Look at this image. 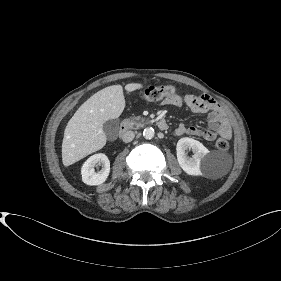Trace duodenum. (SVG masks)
Returning <instances> with one entry per match:
<instances>
[{"mask_svg": "<svg viewBox=\"0 0 281 281\" xmlns=\"http://www.w3.org/2000/svg\"><path fill=\"white\" fill-rule=\"evenodd\" d=\"M158 127L160 130H167L168 129V124L164 119H161L158 121ZM128 130V124L127 123H122L120 127L121 133H124Z\"/></svg>", "mask_w": 281, "mask_h": 281, "instance_id": "obj_1", "label": "duodenum"}]
</instances>
